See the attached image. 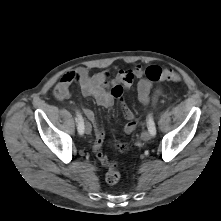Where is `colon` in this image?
I'll use <instances>...</instances> for the list:
<instances>
[{
	"label": "colon",
	"instance_id": "obj_1",
	"mask_svg": "<svg viewBox=\"0 0 221 221\" xmlns=\"http://www.w3.org/2000/svg\"><path fill=\"white\" fill-rule=\"evenodd\" d=\"M145 75L148 80L156 83L161 82H180V76L170 67H160V66H150L146 69ZM123 87H127V85H122L115 88V94L117 99L122 104L124 114H128V108L122 103V91ZM54 96L57 99H64L66 96V91L63 87L57 85L54 89ZM121 178L120 171L118 169V165L116 162L111 161L108 170L105 175V180L108 184L114 185L119 182Z\"/></svg>",
	"mask_w": 221,
	"mask_h": 221
}]
</instances>
